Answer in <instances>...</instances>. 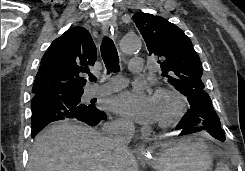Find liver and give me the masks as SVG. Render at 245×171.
Instances as JSON below:
<instances>
[{
  "label": "liver",
  "instance_id": "liver-1",
  "mask_svg": "<svg viewBox=\"0 0 245 171\" xmlns=\"http://www.w3.org/2000/svg\"><path fill=\"white\" fill-rule=\"evenodd\" d=\"M107 164L117 171H139L130 151L118 154L98 131L61 121L36 137L28 171H103Z\"/></svg>",
  "mask_w": 245,
  "mask_h": 171
}]
</instances>
